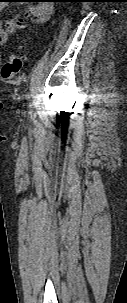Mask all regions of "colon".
Wrapping results in <instances>:
<instances>
[{
	"instance_id": "5ec220e1",
	"label": "colon",
	"mask_w": 127,
	"mask_h": 303,
	"mask_svg": "<svg viewBox=\"0 0 127 303\" xmlns=\"http://www.w3.org/2000/svg\"><path fill=\"white\" fill-rule=\"evenodd\" d=\"M23 59L18 54H12L2 68V76L5 79H12L19 74Z\"/></svg>"
}]
</instances>
